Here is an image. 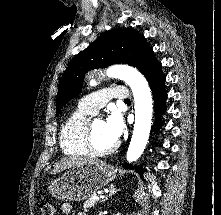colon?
I'll use <instances>...</instances> for the list:
<instances>
[{
	"instance_id": "obj_1",
	"label": "colon",
	"mask_w": 221,
	"mask_h": 215,
	"mask_svg": "<svg viewBox=\"0 0 221 215\" xmlns=\"http://www.w3.org/2000/svg\"><path fill=\"white\" fill-rule=\"evenodd\" d=\"M42 215H54V206L49 203H44L41 206Z\"/></svg>"
}]
</instances>
